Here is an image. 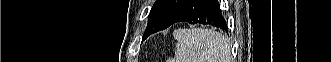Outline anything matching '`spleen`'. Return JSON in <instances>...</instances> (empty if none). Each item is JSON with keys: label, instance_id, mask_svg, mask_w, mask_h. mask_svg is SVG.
<instances>
[{"label": "spleen", "instance_id": "spleen-1", "mask_svg": "<svg viewBox=\"0 0 331 62\" xmlns=\"http://www.w3.org/2000/svg\"><path fill=\"white\" fill-rule=\"evenodd\" d=\"M175 58L170 62H231L227 37L209 29H177Z\"/></svg>", "mask_w": 331, "mask_h": 62}]
</instances>
